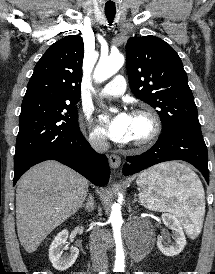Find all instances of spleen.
<instances>
[{
    "mask_svg": "<svg viewBox=\"0 0 215 274\" xmlns=\"http://www.w3.org/2000/svg\"><path fill=\"white\" fill-rule=\"evenodd\" d=\"M139 199L150 210L173 213L186 229L205 213V194L201 181L187 166L168 163L143 171L137 178ZM188 233L191 235L192 231Z\"/></svg>",
    "mask_w": 215,
    "mask_h": 274,
    "instance_id": "obj_1",
    "label": "spleen"
}]
</instances>
